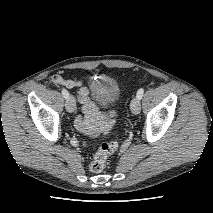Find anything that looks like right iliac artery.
I'll list each match as a JSON object with an SVG mask.
<instances>
[{"label":"right iliac artery","mask_w":213,"mask_h":213,"mask_svg":"<svg viewBox=\"0 0 213 213\" xmlns=\"http://www.w3.org/2000/svg\"><path fill=\"white\" fill-rule=\"evenodd\" d=\"M62 95L64 98H69V92L66 89H62Z\"/></svg>","instance_id":"obj_1"}]
</instances>
